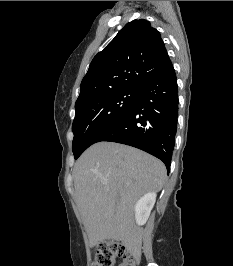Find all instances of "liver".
Returning <instances> with one entry per match:
<instances>
[{"label":"liver","mask_w":233,"mask_h":266,"mask_svg":"<svg viewBox=\"0 0 233 266\" xmlns=\"http://www.w3.org/2000/svg\"><path fill=\"white\" fill-rule=\"evenodd\" d=\"M73 176L75 200L90 245L116 240L133 248L140 241L135 203L143 194L162 189L165 165L134 147L99 142L81 155Z\"/></svg>","instance_id":"1"}]
</instances>
